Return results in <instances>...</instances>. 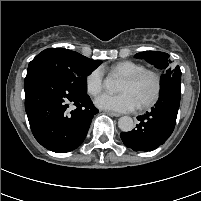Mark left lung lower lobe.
Segmentation results:
<instances>
[{
    "label": "left lung lower lobe",
    "instance_id": "0a47b994",
    "mask_svg": "<svg viewBox=\"0 0 201 201\" xmlns=\"http://www.w3.org/2000/svg\"><path fill=\"white\" fill-rule=\"evenodd\" d=\"M180 96L181 87L178 84H171L161 91L151 111L137 117V128L120 134L125 146L134 151H152L164 144L174 130Z\"/></svg>",
    "mask_w": 201,
    "mask_h": 201
}]
</instances>
